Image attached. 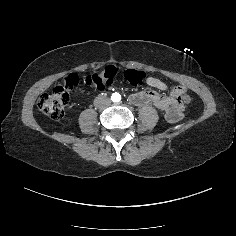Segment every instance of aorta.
I'll return each mask as SVG.
<instances>
[{"label":"aorta","mask_w":236,"mask_h":236,"mask_svg":"<svg viewBox=\"0 0 236 236\" xmlns=\"http://www.w3.org/2000/svg\"><path fill=\"white\" fill-rule=\"evenodd\" d=\"M120 96L118 95V94H112V96H111V100L112 101H114V102H118V101H120Z\"/></svg>","instance_id":"obj_1"}]
</instances>
